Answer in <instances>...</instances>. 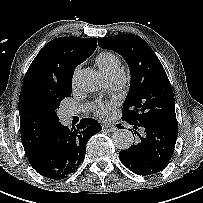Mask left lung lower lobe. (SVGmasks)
Here are the masks:
<instances>
[{
	"label": "left lung lower lobe",
	"mask_w": 203,
	"mask_h": 203,
	"mask_svg": "<svg viewBox=\"0 0 203 203\" xmlns=\"http://www.w3.org/2000/svg\"><path fill=\"white\" fill-rule=\"evenodd\" d=\"M129 124L133 126L131 132L137 135L138 139L131 147L119 152V159L130 171L138 175L159 173L167 166L173 154L178 126L161 125L157 122Z\"/></svg>",
	"instance_id": "obj_1"
}]
</instances>
